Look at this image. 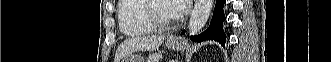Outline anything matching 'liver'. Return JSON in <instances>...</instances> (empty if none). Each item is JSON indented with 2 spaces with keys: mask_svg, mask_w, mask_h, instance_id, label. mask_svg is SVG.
<instances>
[{
  "mask_svg": "<svg viewBox=\"0 0 331 62\" xmlns=\"http://www.w3.org/2000/svg\"><path fill=\"white\" fill-rule=\"evenodd\" d=\"M165 39L164 35H152L129 38L119 45L115 55V62L120 60L132 53L137 51H154L161 46Z\"/></svg>",
  "mask_w": 331,
  "mask_h": 62,
  "instance_id": "obj_1",
  "label": "liver"
}]
</instances>
